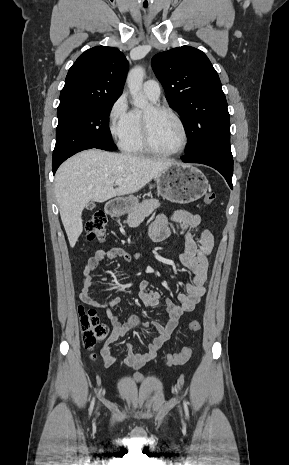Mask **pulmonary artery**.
<instances>
[{
    "mask_svg": "<svg viewBox=\"0 0 289 465\" xmlns=\"http://www.w3.org/2000/svg\"><path fill=\"white\" fill-rule=\"evenodd\" d=\"M143 91L151 100H157L160 97V85L156 80H147L143 84Z\"/></svg>",
    "mask_w": 289,
    "mask_h": 465,
    "instance_id": "1",
    "label": "pulmonary artery"
}]
</instances>
